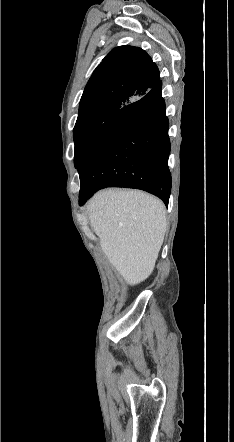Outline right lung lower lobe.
I'll return each instance as SVG.
<instances>
[{"label":"right lung lower lobe","instance_id":"right-lung-lower-lobe-1","mask_svg":"<svg viewBox=\"0 0 234 442\" xmlns=\"http://www.w3.org/2000/svg\"><path fill=\"white\" fill-rule=\"evenodd\" d=\"M159 80L141 98L121 108L79 165V204L105 187L147 191L168 205L169 122Z\"/></svg>","mask_w":234,"mask_h":442}]
</instances>
